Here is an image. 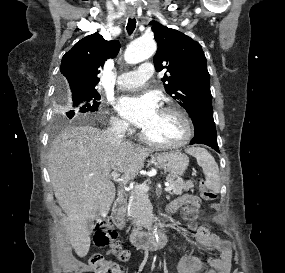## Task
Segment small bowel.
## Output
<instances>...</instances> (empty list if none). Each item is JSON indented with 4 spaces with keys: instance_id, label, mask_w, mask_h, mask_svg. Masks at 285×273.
Masks as SVG:
<instances>
[{
    "instance_id": "small-bowel-1",
    "label": "small bowel",
    "mask_w": 285,
    "mask_h": 273,
    "mask_svg": "<svg viewBox=\"0 0 285 273\" xmlns=\"http://www.w3.org/2000/svg\"><path fill=\"white\" fill-rule=\"evenodd\" d=\"M191 203L194 205V211L201 208V200L193 195H183L176 199L169 207V211L175 212L179 209H185V206ZM202 227V232H195L197 243L201 248L212 250L218 253V258L209 260L210 268L195 256L182 257L176 266L177 273H229L231 268L232 251L228 241L221 239L217 234L213 233L206 225ZM192 230V229H191ZM195 231V230H193Z\"/></svg>"
}]
</instances>
